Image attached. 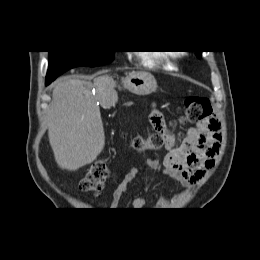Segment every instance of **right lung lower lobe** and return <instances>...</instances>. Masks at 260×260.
Returning <instances> with one entry per match:
<instances>
[{
  "label": "right lung lower lobe",
  "instance_id": "right-lung-lower-lobe-1",
  "mask_svg": "<svg viewBox=\"0 0 260 260\" xmlns=\"http://www.w3.org/2000/svg\"><path fill=\"white\" fill-rule=\"evenodd\" d=\"M49 83H50V81H47V80H46V85H48Z\"/></svg>",
  "mask_w": 260,
  "mask_h": 260
}]
</instances>
